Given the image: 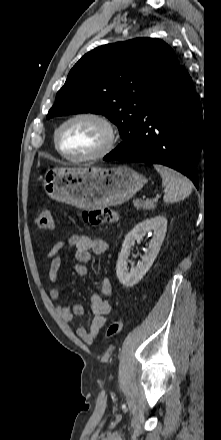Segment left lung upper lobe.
<instances>
[{"mask_svg":"<svg viewBox=\"0 0 221 440\" xmlns=\"http://www.w3.org/2000/svg\"><path fill=\"white\" fill-rule=\"evenodd\" d=\"M180 64L174 51L155 38L103 45L85 54L71 69L47 118L91 112L117 125L128 143L146 105Z\"/></svg>","mask_w":221,"mask_h":440,"instance_id":"5c2ea615","label":"left lung upper lobe"}]
</instances>
